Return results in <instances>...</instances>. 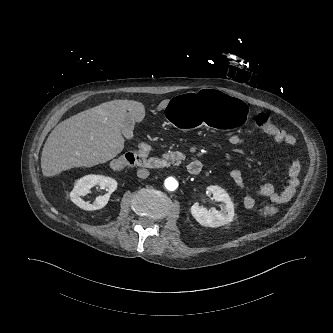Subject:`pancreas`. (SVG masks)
<instances>
[{
  "label": "pancreas",
  "mask_w": 333,
  "mask_h": 333,
  "mask_svg": "<svg viewBox=\"0 0 333 333\" xmlns=\"http://www.w3.org/2000/svg\"><path fill=\"white\" fill-rule=\"evenodd\" d=\"M162 157L165 160H169V164H175V165H179L181 163V160L185 159V155H183L179 151L177 152L169 151L168 153L163 154Z\"/></svg>",
  "instance_id": "obj_1"
}]
</instances>
